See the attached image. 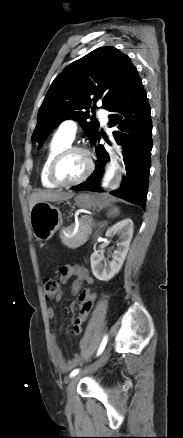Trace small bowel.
Returning a JSON list of instances; mask_svg holds the SVG:
<instances>
[{
    "label": "small bowel",
    "instance_id": "1",
    "mask_svg": "<svg viewBox=\"0 0 183 438\" xmlns=\"http://www.w3.org/2000/svg\"><path fill=\"white\" fill-rule=\"evenodd\" d=\"M59 273H60V282L62 284H66L69 281V279H71L72 277L76 278V280L74 281V283L72 284V287H71V294L72 295L78 294L84 283L91 285L94 282L93 278L90 276L87 269L82 267V266L65 265V266L60 267ZM83 293L90 294L91 291H90V289L83 290L79 294V300L81 299V294H83ZM63 298H64L63 293H59L56 297V301L59 302ZM76 308H77V303L74 301L71 302L70 309L75 310ZM47 315H48L49 319H54L55 318L54 309L49 308L47 310ZM84 323H85V320H82L80 318V316H78L73 323L72 330H71L72 334H74V335L80 334L82 332V325ZM52 359H53L54 364L56 366H58L64 372L71 370L78 363V359L67 360L64 357L61 349L56 344L55 339L53 341V346H52Z\"/></svg>",
    "mask_w": 183,
    "mask_h": 438
}]
</instances>
